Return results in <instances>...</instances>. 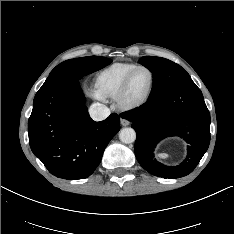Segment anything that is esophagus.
Listing matches in <instances>:
<instances>
[{
    "label": "esophagus",
    "mask_w": 234,
    "mask_h": 234,
    "mask_svg": "<svg viewBox=\"0 0 234 234\" xmlns=\"http://www.w3.org/2000/svg\"><path fill=\"white\" fill-rule=\"evenodd\" d=\"M121 124L123 126H128L130 124V122L125 118L124 115H121Z\"/></svg>",
    "instance_id": "esophagus-1"
}]
</instances>
